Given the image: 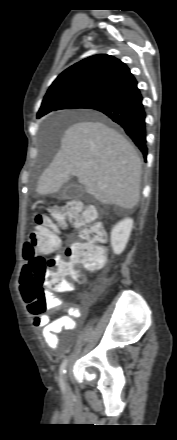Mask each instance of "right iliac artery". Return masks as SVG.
Masks as SVG:
<instances>
[{
  "instance_id": "82829eb1",
  "label": "right iliac artery",
  "mask_w": 177,
  "mask_h": 440,
  "mask_svg": "<svg viewBox=\"0 0 177 440\" xmlns=\"http://www.w3.org/2000/svg\"><path fill=\"white\" fill-rule=\"evenodd\" d=\"M68 360L65 359L61 366H60V370H59V383H60V387L62 389L63 392H65L66 388H65V382H64V374L66 372V366H67Z\"/></svg>"
}]
</instances>
